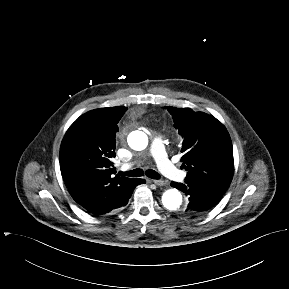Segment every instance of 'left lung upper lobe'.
<instances>
[{"instance_id":"1","label":"left lung upper lobe","mask_w":289,"mask_h":289,"mask_svg":"<svg viewBox=\"0 0 289 289\" xmlns=\"http://www.w3.org/2000/svg\"><path fill=\"white\" fill-rule=\"evenodd\" d=\"M183 137L181 158L188 171L185 183L223 194L234 172L233 149L226 128L216 118L190 108L168 107Z\"/></svg>"}]
</instances>
